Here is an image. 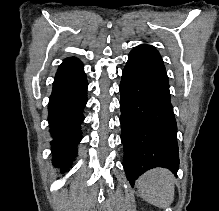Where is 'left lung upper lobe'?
Instances as JSON below:
<instances>
[{
	"mask_svg": "<svg viewBox=\"0 0 219 211\" xmlns=\"http://www.w3.org/2000/svg\"><path fill=\"white\" fill-rule=\"evenodd\" d=\"M134 49H136V50H138V51H140L142 53H145V54H147V55H149L151 57H154V58H156L158 60L163 61L162 58H161V55L159 54V52L153 46L143 44V45L137 46Z\"/></svg>",
	"mask_w": 219,
	"mask_h": 211,
	"instance_id": "5c2ea615",
	"label": "left lung upper lobe"
}]
</instances>
